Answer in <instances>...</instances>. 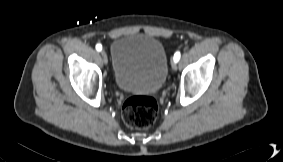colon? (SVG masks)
<instances>
[{
	"label": "colon",
	"instance_id": "5ec220e1",
	"mask_svg": "<svg viewBox=\"0 0 283 162\" xmlns=\"http://www.w3.org/2000/svg\"><path fill=\"white\" fill-rule=\"evenodd\" d=\"M158 116V103L152 97L133 96L122 107V118L126 125L136 129H147Z\"/></svg>",
	"mask_w": 283,
	"mask_h": 162
}]
</instances>
